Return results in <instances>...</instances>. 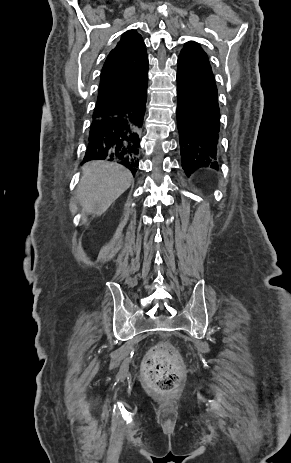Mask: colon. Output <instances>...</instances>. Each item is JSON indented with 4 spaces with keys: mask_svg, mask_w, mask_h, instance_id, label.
<instances>
[{
    "mask_svg": "<svg viewBox=\"0 0 291 463\" xmlns=\"http://www.w3.org/2000/svg\"><path fill=\"white\" fill-rule=\"evenodd\" d=\"M182 369L175 352L166 346L151 350L145 358L144 374L149 386L160 394L172 392Z\"/></svg>",
    "mask_w": 291,
    "mask_h": 463,
    "instance_id": "1",
    "label": "colon"
}]
</instances>
